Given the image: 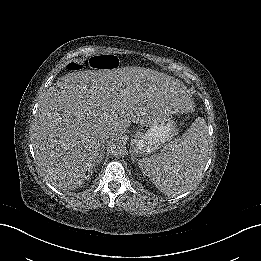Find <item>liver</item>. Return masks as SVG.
<instances>
[{"mask_svg": "<svg viewBox=\"0 0 261 261\" xmlns=\"http://www.w3.org/2000/svg\"><path fill=\"white\" fill-rule=\"evenodd\" d=\"M117 83L110 73L80 72L47 90L39 101L33 134L40 167L68 179L92 173L102 156L104 135L120 133L127 126L114 111H122L126 104L141 106L142 111L134 91ZM154 104L149 100L143 110Z\"/></svg>", "mask_w": 261, "mask_h": 261, "instance_id": "1", "label": "liver"}]
</instances>
